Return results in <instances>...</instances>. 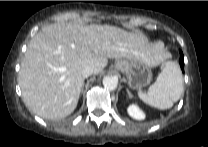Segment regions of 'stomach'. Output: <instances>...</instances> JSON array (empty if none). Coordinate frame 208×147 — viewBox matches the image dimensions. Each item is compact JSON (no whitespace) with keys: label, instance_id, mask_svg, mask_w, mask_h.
Returning a JSON list of instances; mask_svg holds the SVG:
<instances>
[{"label":"stomach","instance_id":"stomach-1","mask_svg":"<svg viewBox=\"0 0 208 147\" xmlns=\"http://www.w3.org/2000/svg\"><path fill=\"white\" fill-rule=\"evenodd\" d=\"M115 69L124 73L128 80V85L132 89L147 86L152 79V72L148 65L134 59H119L115 62Z\"/></svg>","mask_w":208,"mask_h":147}]
</instances>
